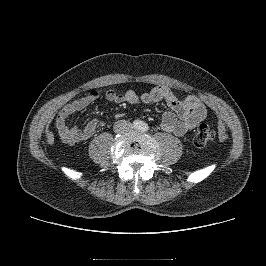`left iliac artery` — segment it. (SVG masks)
<instances>
[{"mask_svg": "<svg viewBox=\"0 0 266 266\" xmlns=\"http://www.w3.org/2000/svg\"><path fill=\"white\" fill-rule=\"evenodd\" d=\"M148 129H149V126L146 123H142L140 130L142 132H146V131H148Z\"/></svg>", "mask_w": 266, "mask_h": 266, "instance_id": "44dca946", "label": "left iliac artery"}]
</instances>
